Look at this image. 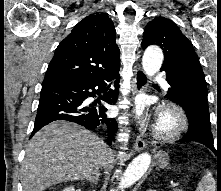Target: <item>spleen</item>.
<instances>
[{"label": "spleen", "mask_w": 221, "mask_h": 191, "mask_svg": "<svg viewBox=\"0 0 221 191\" xmlns=\"http://www.w3.org/2000/svg\"><path fill=\"white\" fill-rule=\"evenodd\" d=\"M216 184L215 180L212 177L210 172H206V174L202 177L200 182L198 183L196 191H215Z\"/></svg>", "instance_id": "3e777b00"}]
</instances>
